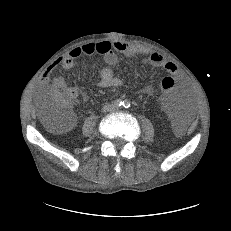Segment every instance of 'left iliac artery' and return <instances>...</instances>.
I'll return each instance as SVG.
<instances>
[{"mask_svg": "<svg viewBox=\"0 0 231 231\" xmlns=\"http://www.w3.org/2000/svg\"><path fill=\"white\" fill-rule=\"evenodd\" d=\"M123 107L129 108L130 107V102L128 100L123 101Z\"/></svg>", "mask_w": 231, "mask_h": 231, "instance_id": "obj_1", "label": "left iliac artery"}]
</instances>
